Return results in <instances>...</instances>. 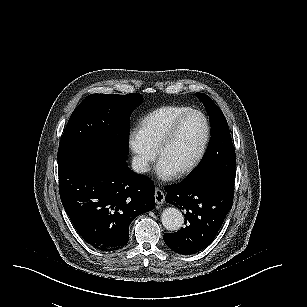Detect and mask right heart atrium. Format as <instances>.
<instances>
[{"label": "right heart atrium", "mask_w": 307, "mask_h": 307, "mask_svg": "<svg viewBox=\"0 0 307 307\" xmlns=\"http://www.w3.org/2000/svg\"><path fill=\"white\" fill-rule=\"evenodd\" d=\"M131 145L138 160L149 162L153 158V151L149 146V141L143 133L137 132L131 136Z\"/></svg>", "instance_id": "obj_1"}]
</instances>
